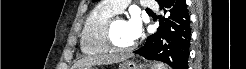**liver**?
<instances>
[{
  "label": "liver",
  "mask_w": 246,
  "mask_h": 69,
  "mask_svg": "<svg viewBox=\"0 0 246 69\" xmlns=\"http://www.w3.org/2000/svg\"><path fill=\"white\" fill-rule=\"evenodd\" d=\"M126 55L118 54H105L99 56H88L79 60L74 66L73 69H83L85 67H91L92 65H101V64H112L122 62L127 59Z\"/></svg>",
  "instance_id": "liver-1"
}]
</instances>
